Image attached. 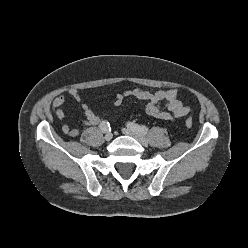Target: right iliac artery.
Masks as SVG:
<instances>
[{"label": "right iliac artery", "mask_w": 248, "mask_h": 248, "mask_svg": "<svg viewBox=\"0 0 248 248\" xmlns=\"http://www.w3.org/2000/svg\"><path fill=\"white\" fill-rule=\"evenodd\" d=\"M100 129L102 130V132H108V131H111V127H110V124L108 121H103L101 124H100Z\"/></svg>", "instance_id": "right-iliac-artery-1"}]
</instances>
